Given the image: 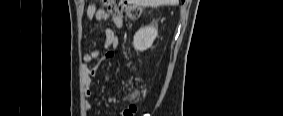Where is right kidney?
Returning a JSON list of instances; mask_svg holds the SVG:
<instances>
[{"instance_id": "ca27d5eb", "label": "right kidney", "mask_w": 283, "mask_h": 116, "mask_svg": "<svg viewBox=\"0 0 283 116\" xmlns=\"http://www.w3.org/2000/svg\"><path fill=\"white\" fill-rule=\"evenodd\" d=\"M158 35L155 27H143L138 30L133 39L134 48L137 51H145L150 48Z\"/></svg>"}]
</instances>
